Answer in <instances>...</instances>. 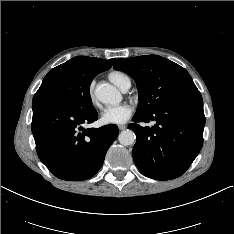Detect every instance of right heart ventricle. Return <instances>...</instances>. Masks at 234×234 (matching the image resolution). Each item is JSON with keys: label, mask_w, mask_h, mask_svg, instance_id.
Returning <instances> with one entry per match:
<instances>
[{"label": "right heart ventricle", "mask_w": 234, "mask_h": 234, "mask_svg": "<svg viewBox=\"0 0 234 234\" xmlns=\"http://www.w3.org/2000/svg\"><path fill=\"white\" fill-rule=\"evenodd\" d=\"M108 78L113 84L123 91L129 89L131 86V78L122 71H111Z\"/></svg>", "instance_id": "right-heart-ventricle-1"}]
</instances>
